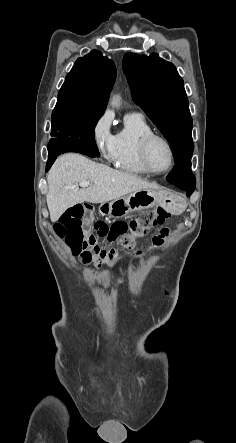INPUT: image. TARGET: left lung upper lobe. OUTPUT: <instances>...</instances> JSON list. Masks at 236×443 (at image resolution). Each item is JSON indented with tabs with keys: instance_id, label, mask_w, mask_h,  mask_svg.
Listing matches in <instances>:
<instances>
[{
	"instance_id": "left-lung-upper-lobe-1",
	"label": "left lung upper lobe",
	"mask_w": 236,
	"mask_h": 443,
	"mask_svg": "<svg viewBox=\"0 0 236 443\" xmlns=\"http://www.w3.org/2000/svg\"><path fill=\"white\" fill-rule=\"evenodd\" d=\"M123 71L134 102L169 142L175 163L191 158L193 122L184 82L175 66L158 54L127 53L123 58Z\"/></svg>"
}]
</instances>
